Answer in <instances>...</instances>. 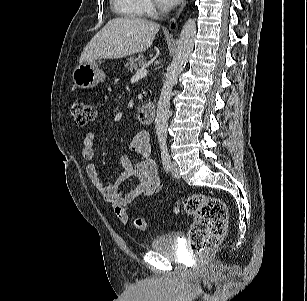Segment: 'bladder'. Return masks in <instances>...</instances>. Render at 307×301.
Masks as SVG:
<instances>
[{
  "label": "bladder",
  "mask_w": 307,
  "mask_h": 301,
  "mask_svg": "<svg viewBox=\"0 0 307 301\" xmlns=\"http://www.w3.org/2000/svg\"><path fill=\"white\" fill-rule=\"evenodd\" d=\"M179 238L180 235L177 232H169L157 236L151 244V250L168 258L177 259L179 254Z\"/></svg>",
  "instance_id": "31cf9c89"
}]
</instances>
